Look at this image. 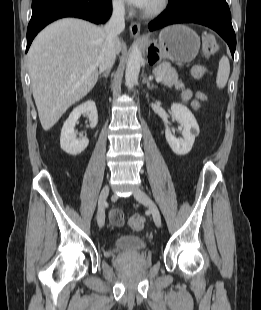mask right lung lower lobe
<instances>
[{"instance_id": "98d812e1", "label": "right lung lower lobe", "mask_w": 261, "mask_h": 310, "mask_svg": "<svg viewBox=\"0 0 261 310\" xmlns=\"http://www.w3.org/2000/svg\"><path fill=\"white\" fill-rule=\"evenodd\" d=\"M111 12V0H33L26 52L37 33L54 20L78 17L98 24L106 22Z\"/></svg>"}]
</instances>
